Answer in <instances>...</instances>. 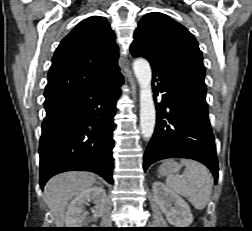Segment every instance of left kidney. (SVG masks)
<instances>
[{
	"label": "left kidney",
	"mask_w": 252,
	"mask_h": 231,
	"mask_svg": "<svg viewBox=\"0 0 252 231\" xmlns=\"http://www.w3.org/2000/svg\"><path fill=\"white\" fill-rule=\"evenodd\" d=\"M152 187L154 199L170 224L185 228L193 222V215L185 200L161 182H154Z\"/></svg>",
	"instance_id": "left-kidney-1"
}]
</instances>
